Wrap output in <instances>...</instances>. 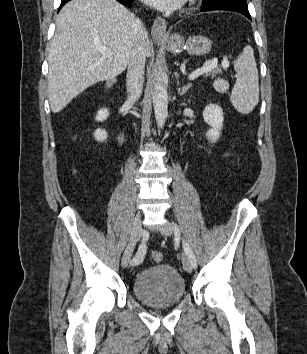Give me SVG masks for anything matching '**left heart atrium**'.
Here are the masks:
<instances>
[{"mask_svg":"<svg viewBox=\"0 0 307 354\" xmlns=\"http://www.w3.org/2000/svg\"><path fill=\"white\" fill-rule=\"evenodd\" d=\"M159 10H174L180 7L185 0H143Z\"/></svg>","mask_w":307,"mask_h":354,"instance_id":"left-heart-atrium-1","label":"left heart atrium"}]
</instances>
